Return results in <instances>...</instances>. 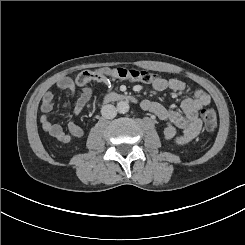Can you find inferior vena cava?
<instances>
[{"label": "inferior vena cava", "instance_id": "1", "mask_svg": "<svg viewBox=\"0 0 245 245\" xmlns=\"http://www.w3.org/2000/svg\"><path fill=\"white\" fill-rule=\"evenodd\" d=\"M101 114L103 117H105L107 119H113L117 115V109L115 106H113L111 104H107V105L102 107Z\"/></svg>", "mask_w": 245, "mask_h": 245}]
</instances>
